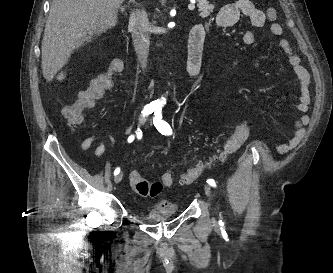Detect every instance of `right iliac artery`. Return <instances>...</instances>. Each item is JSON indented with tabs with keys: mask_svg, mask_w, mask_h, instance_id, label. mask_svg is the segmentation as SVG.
Returning a JSON list of instances; mask_svg holds the SVG:
<instances>
[{
	"mask_svg": "<svg viewBox=\"0 0 333 273\" xmlns=\"http://www.w3.org/2000/svg\"><path fill=\"white\" fill-rule=\"evenodd\" d=\"M155 107L154 106H151V105H147L144 107V109L142 110V116L143 117H146L148 115H150L151 113H153L155 111ZM136 134L137 135H142V131L138 128L137 131H136ZM135 136L134 135H130L127 139V141L129 143L133 142ZM120 172V168H116L115 171H114V175H117L119 174Z\"/></svg>",
	"mask_w": 333,
	"mask_h": 273,
	"instance_id": "obj_1",
	"label": "right iliac artery"
}]
</instances>
